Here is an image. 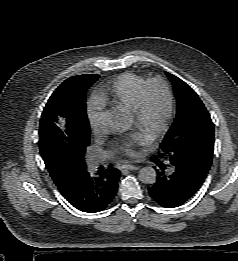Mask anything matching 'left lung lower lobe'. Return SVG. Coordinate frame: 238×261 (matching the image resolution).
Wrapping results in <instances>:
<instances>
[{"mask_svg": "<svg viewBox=\"0 0 238 261\" xmlns=\"http://www.w3.org/2000/svg\"><path fill=\"white\" fill-rule=\"evenodd\" d=\"M157 165L156 181L148 191L155 202L166 208L178 207L187 202L207 177V172L198 166L162 162H157Z\"/></svg>", "mask_w": 238, "mask_h": 261, "instance_id": "1", "label": "left lung lower lobe"}]
</instances>
